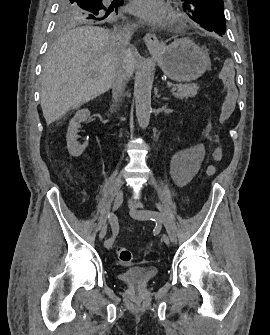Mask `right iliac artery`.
<instances>
[{"mask_svg":"<svg viewBox=\"0 0 270 335\" xmlns=\"http://www.w3.org/2000/svg\"><path fill=\"white\" fill-rule=\"evenodd\" d=\"M108 218H109V222L111 225V229H112V237H110L109 239H107L104 242V246L106 248H110L115 240V237L117 236L118 232H119V223H118V219L116 217V215H114L113 213H109L108 214Z\"/></svg>","mask_w":270,"mask_h":335,"instance_id":"82829eb1","label":"right iliac artery"}]
</instances>
